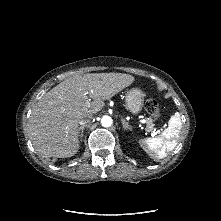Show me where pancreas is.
I'll return each instance as SVG.
<instances>
[{
	"mask_svg": "<svg viewBox=\"0 0 221 221\" xmlns=\"http://www.w3.org/2000/svg\"><path fill=\"white\" fill-rule=\"evenodd\" d=\"M146 121H147V127H148L149 129H152L153 126H154L153 120H152L151 118H147Z\"/></svg>",
	"mask_w": 221,
	"mask_h": 221,
	"instance_id": "pancreas-1",
	"label": "pancreas"
}]
</instances>
